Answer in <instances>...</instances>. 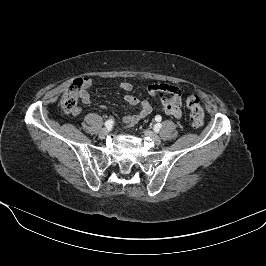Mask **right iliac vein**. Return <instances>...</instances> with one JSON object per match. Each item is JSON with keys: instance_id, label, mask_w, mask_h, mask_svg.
Instances as JSON below:
<instances>
[{"instance_id": "obj_1", "label": "right iliac vein", "mask_w": 266, "mask_h": 266, "mask_svg": "<svg viewBox=\"0 0 266 266\" xmlns=\"http://www.w3.org/2000/svg\"><path fill=\"white\" fill-rule=\"evenodd\" d=\"M109 133V130L107 128H103L100 132H99V137L101 139H105L107 137Z\"/></svg>"}]
</instances>
